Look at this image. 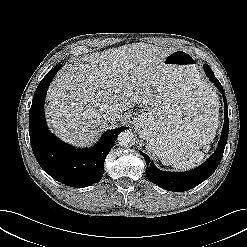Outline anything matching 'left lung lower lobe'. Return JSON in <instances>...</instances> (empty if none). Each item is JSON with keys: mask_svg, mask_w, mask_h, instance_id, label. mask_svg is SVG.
Masks as SVG:
<instances>
[{"mask_svg": "<svg viewBox=\"0 0 247 247\" xmlns=\"http://www.w3.org/2000/svg\"><path fill=\"white\" fill-rule=\"evenodd\" d=\"M204 70L206 72V75L209 77L210 81L214 83L215 86L222 93L224 99V110H225L224 126H223L219 145L216 151L213 153V155L201 166L188 172L179 173V172H165L159 170L158 168L155 167L154 163L150 161L148 155L141 152V154L144 156L146 160V164H147L146 176L148 180L168 191L183 192L199 185L204 180H206L210 175H212V173L218 167L223 156V152L228 137V130H229L227 101L222 85L220 84L218 79L214 76V73L211 70V68L207 64H204Z\"/></svg>", "mask_w": 247, "mask_h": 247, "instance_id": "1", "label": "left lung lower lobe"}]
</instances>
